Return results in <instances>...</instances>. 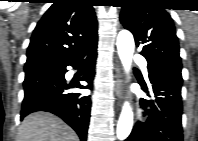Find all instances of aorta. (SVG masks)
I'll use <instances>...</instances> for the list:
<instances>
[{
	"instance_id": "762f6f07",
	"label": "aorta",
	"mask_w": 198,
	"mask_h": 141,
	"mask_svg": "<svg viewBox=\"0 0 198 141\" xmlns=\"http://www.w3.org/2000/svg\"><path fill=\"white\" fill-rule=\"evenodd\" d=\"M117 50L121 63L126 73H129L135 49L133 35L122 30L117 36ZM133 127V111L129 102H125L118 120L116 136L119 141L125 140L131 133Z\"/></svg>"
}]
</instances>
